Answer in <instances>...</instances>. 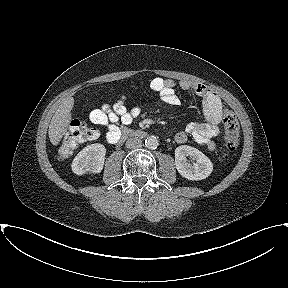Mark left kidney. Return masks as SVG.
<instances>
[{
  "label": "left kidney",
  "instance_id": "left-kidney-1",
  "mask_svg": "<svg viewBox=\"0 0 288 288\" xmlns=\"http://www.w3.org/2000/svg\"><path fill=\"white\" fill-rule=\"evenodd\" d=\"M187 157L194 161L193 164L188 162ZM175 165L179 174L188 180H203L213 170L210 159L198 149L188 145H181L175 149Z\"/></svg>",
  "mask_w": 288,
  "mask_h": 288
}]
</instances>
